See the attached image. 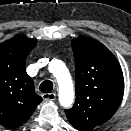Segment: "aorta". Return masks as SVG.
<instances>
[{
	"mask_svg": "<svg viewBox=\"0 0 131 131\" xmlns=\"http://www.w3.org/2000/svg\"><path fill=\"white\" fill-rule=\"evenodd\" d=\"M52 72L58 84L59 102L63 107H69L74 100L73 83L71 76L64 63L53 60L50 64Z\"/></svg>",
	"mask_w": 131,
	"mask_h": 131,
	"instance_id": "762f6f07",
	"label": "aorta"
}]
</instances>
